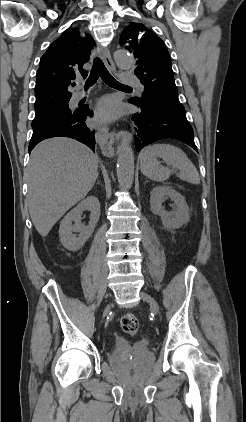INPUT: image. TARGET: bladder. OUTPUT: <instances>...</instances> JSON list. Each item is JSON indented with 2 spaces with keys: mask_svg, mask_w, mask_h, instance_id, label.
Returning <instances> with one entry per match:
<instances>
[{
  "mask_svg": "<svg viewBox=\"0 0 246 422\" xmlns=\"http://www.w3.org/2000/svg\"><path fill=\"white\" fill-rule=\"evenodd\" d=\"M141 359L144 360L147 364H151L154 361V356L153 354L149 353V352H143L141 353Z\"/></svg>",
  "mask_w": 246,
  "mask_h": 422,
  "instance_id": "bladder-1",
  "label": "bladder"
}]
</instances>
